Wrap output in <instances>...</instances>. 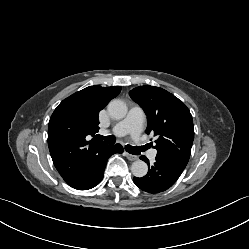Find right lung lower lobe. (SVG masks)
<instances>
[{
  "label": "right lung lower lobe",
  "instance_id": "1",
  "mask_svg": "<svg viewBox=\"0 0 249 249\" xmlns=\"http://www.w3.org/2000/svg\"><path fill=\"white\" fill-rule=\"evenodd\" d=\"M123 151L124 149L120 144L114 146L104 144L94 152L75 179L67 184L78 190H87L95 187L103 178L108 158L113 153H122Z\"/></svg>",
  "mask_w": 249,
  "mask_h": 249
}]
</instances>
